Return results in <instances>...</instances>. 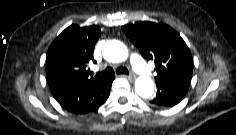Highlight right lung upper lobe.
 <instances>
[{
	"instance_id": "1",
	"label": "right lung upper lobe",
	"mask_w": 236,
	"mask_h": 135,
	"mask_svg": "<svg viewBox=\"0 0 236 135\" xmlns=\"http://www.w3.org/2000/svg\"><path fill=\"white\" fill-rule=\"evenodd\" d=\"M101 35L98 26L66 28L50 45L46 58V77L50 88L60 85H84L102 80L90 76L87 65Z\"/></svg>"
}]
</instances>
